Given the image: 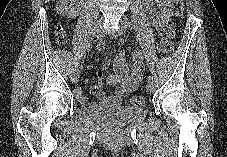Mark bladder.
I'll use <instances>...</instances> for the list:
<instances>
[{
	"instance_id": "31cf9c89",
	"label": "bladder",
	"mask_w": 227,
	"mask_h": 157,
	"mask_svg": "<svg viewBox=\"0 0 227 157\" xmlns=\"http://www.w3.org/2000/svg\"><path fill=\"white\" fill-rule=\"evenodd\" d=\"M142 111L137 106L113 105L90 111V116L106 126H120L138 118Z\"/></svg>"
}]
</instances>
